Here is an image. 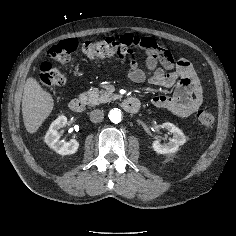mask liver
Listing matches in <instances>:
<instances>
[{"instance_id":"6515ba94","label":"liver","mask_w":236,"mask_h":236,"mask_svg":"<svg viewBox=\"0 0 236 236\" xmlns=\"http://www.w3.org/2000/svg\"><path fill=\"white\" fill-rule=\"evenodd\" d=\"M54 108V99L45 91L35 78H28L22 97V115L26 130L37 132Z\"/></svg>"}]
</instances>
